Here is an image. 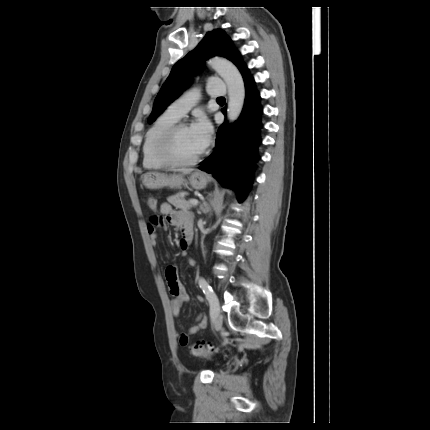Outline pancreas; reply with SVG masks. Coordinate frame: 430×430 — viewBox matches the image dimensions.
<instances>
[{
    "label": "pancreas",
    "mask_w": 430,
    "mask_h": 430,
    "mask_svg": "<svg viewBox=\"0 0 430 430\" xmlns=\"http://www.w3.org/2000/svg\"><path fill=\"white\" fill-rule=\"evenodd\" d=\"M187 192H179L176 193L175 195L169 196L167 198V201L169 203H171L173 206H175L176 208H180V209H189L191 208L193 205L189 202L185 200V195H187Z\"/></svg>",
    "instance_id": "cf45deb5"
}]
</instances>
